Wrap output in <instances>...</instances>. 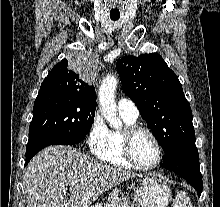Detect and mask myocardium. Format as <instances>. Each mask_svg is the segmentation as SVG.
Segmentation results:
<instances>
[{
  "instance_id": "1",
  "label": "myocardium",
  "mask_w": 220,
  "mask_h": 207,
  "mask_svg": "<svg viewBox=\"0 0 220 207\" xmlns=\"http://www.w3.org/2000/svg\"><path fill=\"white\" fill-rule=\"evenodd\" d=\"M138 132H145L147 133L155 143V146L157 148V159L154 163L149 165H143L140 164L134 157L132 153V140L136 133ZM122 149L123 154L127 161L131 163L135 168L141 169V170H151L155 167H157L163 157V150L161 143L156 136V134L148 127L138 124H132L129 126H126L124 130L122 131Z\"/></svg>"
}]
</instances>
